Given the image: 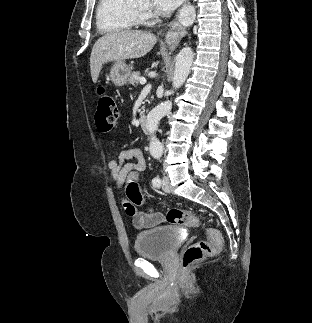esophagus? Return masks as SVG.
Wrapping results in <instances>:
<instances>
[{
    "instance_id": "1",
    "label": "esophagus",
    "mask_w": 312,
    "mask_h": 323,
    "mask_svg": "<svg viewBox=\"0 0 312 323\" xmlns=\"http://www.w3.org/2000/svg\"><path fill=\"white\" fill-rule=\"evenodd\" d=\"M189 0H184V3H188ZM179 12H177L175 19L172 22V28L167 32L165 41L170 48H176L180 40L186 35V29L183 27L179 21Z\"/></svg>"
}]
</instances>
